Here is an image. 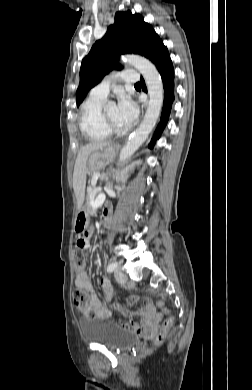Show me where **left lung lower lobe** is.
<instances>
[{
	"instance_id": "left-lung-lower-lobe-1",
	"label": "left lung lower lobe",
	"mask_w": 252,
	"mask_h": 390,
	"mask_svg": "<svg viewBox=\"0 0 252 390\" xmlns=\"http://www.w3.org/2000/svg\"><path fill=\"white\" fill-rule=\"evenodd\" d=\"M148 59L157 67L161 75L163 88H164V103H163L161 119L153 135L154 139H152L149 144V148H153L155 144V139L160 138V135L167 124L172 109V104L175 99L174 68L172 65V61L168 49L163 44L162 40L155 45ZM142 88L144 91H147L143 81H142Z\"/></svg>"
}]
</instances>
